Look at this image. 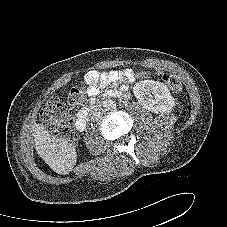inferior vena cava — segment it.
Here are the masks:
<instances>
[{"instance_id": "1", "label": "inferior vena cava", "mask_w": 227, "mask_h": 227, "mask_svg": "<svg viewBox=\"0 0 227 227\" xmlns=\"http://www.w3.org/2000/svg\"><path fill=\"white\" fill-rule=\"evenodd\" d=\"M104 109L102 108H94L90 113L91 120H97L103 116Z\"/></svg>"}]
</instances>
